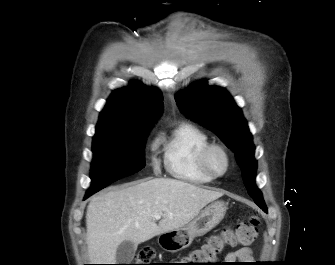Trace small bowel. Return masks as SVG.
I'll use <instances>...</instances> for the list:
<instances>
[{"instance_id":"1","label":"small bowel","mask_w":335,"mask_h":265,"mask_svg":"<svg viewBox=\"0 0 335 265\" xmlns=\"http://www.w3.org/2000/svg\"><path fill=\"white\" fill-rule=\"evenodd\" d=\"M253 260V251L249 247H241L236 250L228 252L225 257V263L232 264L236 261L249 262Z\"/></svg>"}]
</instances>
